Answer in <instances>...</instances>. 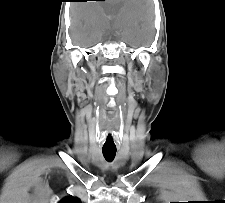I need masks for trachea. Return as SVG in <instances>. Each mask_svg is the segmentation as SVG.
Here are the masks:
<instances>
[{"label":"trachea","mask_w":225,"mask_h":203,"mask_svg":"<svg viewBox=\"0 0 225 203\" xmlns=\"http://www.w3.org/2000/svg\"><path fill=\"white\" fill-rule=\"evenodd\" d=\"M103 156L107 161H112L115 158L116 150H102Z\"/></svg>","instance_id":"trachea-1"}]
</instances>
